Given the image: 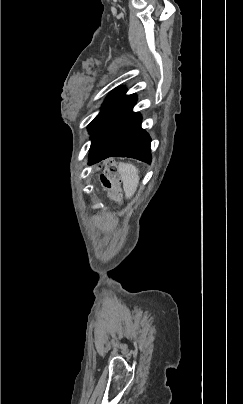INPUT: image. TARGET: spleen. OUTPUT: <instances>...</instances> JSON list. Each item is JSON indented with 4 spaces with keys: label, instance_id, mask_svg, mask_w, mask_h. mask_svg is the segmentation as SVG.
Returning a JSON list of instances; mask_svg holds the SVG:
<instances>
[{
    "label": "spleen",
    "instance_id": "spleen-1",
    "mask_svg": "<svg viewBox=\"0 0 243 404\" xmlns=\"http://www.w3.org/2000/svg\"><path fill=\"white\" fill-rule=\"evenodd\" d=\"M127 200L134 196L139 184V172L133 164H119Z\"/></svg>",
    "mask_w": 243,
    "mask_h": 404
}]
</instances>
